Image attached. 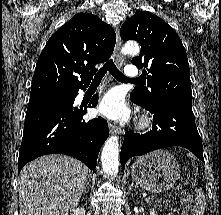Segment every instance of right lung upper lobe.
Returning <instances> with one entry per match:
<instances>
[{
    "label": "right lung upper lobe",
    "instance_id": "right-lung-upper-lobe-1",
    "mask_svg": "<svg viewBox=\"0 0 221 215\" xmlns=\"http://www.w3.org/2000/svg\"><path fill=\"white\" fill-rule=\"evenodd\" d=\"M116 34L112 27L89 13L73 16L48 40L32 78L30 101L66 95L87 86L95 65L112 54Z\"/></svg>",
    "mask_w": 221,
    "mask_h": 215
}]
</instances>
